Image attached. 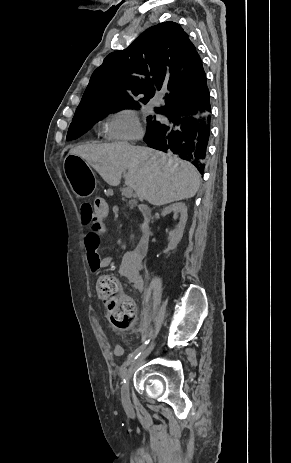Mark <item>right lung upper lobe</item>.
I'll use <instances>...</instances> for the list:
<instances>
[{
	"label": "right lung upper lobe",
	"instance_id": "right-lung-upper-lobe-1",
	"mask_svg": "<svg viewBox=\"0 0 291 463\" xmlns=\"http://www.w3.org/2000/svg\"><path fill=\"white\" fill-rule=\"evenodd\" d=\"M202 60L188 34L174 22L150 27L124 50L108 54L92 74L77 108L109 102L147 103L165 91L166 105L156 110L198 104L207 89ZM144 95V97H142Z\"/></svg>",
	"mask_w": 291,
	"mask_h": 463
}]
</instances>
